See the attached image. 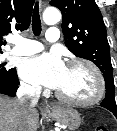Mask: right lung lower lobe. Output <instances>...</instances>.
<instances>
[{
  "label": "right lung lower lobe",
  "instance_id": "98d812e1",
  "mask_svg": "<svg viewBox=\"0 0 117 131\" xmlns=\"http://www.w3.org/2000/svg\"><path fill=\"white\" fill-rule=\"evenodd\" d=\"M18 85L19 80L17 73L15 72V75L11 79H0V93L9 96H15Z\"/></svg>",
  "mask_w": 117,
  "mask_h": 131
}]
</instances>
